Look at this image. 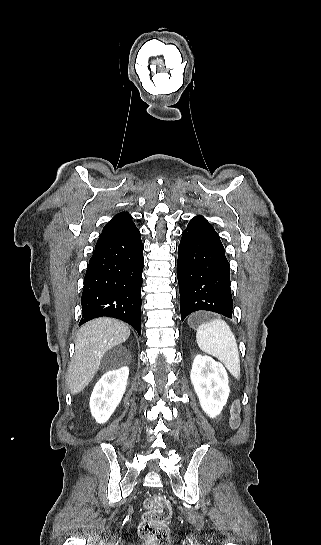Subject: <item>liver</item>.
Here are the masks:
<instances>
[{
  "mask_svg": "<svg viewBox=\"0 0 321 545\" xmlns=\"http://www.w3.org/2000/svg\"><path fill=\"white\" fill-rule=\"evenodd\" d=\"M130 329L116 319H94L81 327L75 341V353L68 371L72 395L81 393L94 379L105 353L125 343Z\"/></svg>",
  "mask_w": 321,
  "mask_h": 545,
  "instance_id": "obj_1",
  "label": "liver"
}]
</instances>
